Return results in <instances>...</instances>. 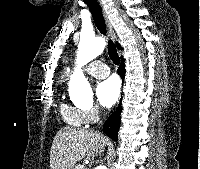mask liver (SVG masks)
Instances as JSON below:
<instances>
[{
    "label": "liver",
    "instance_id": "obj_1",
    "mask_svg": "<svg viewBox=\"0 0 200 169\" xmlns=\"http://www.w3.org/2000/svg\"><path fill=\"white\" fill-rule=\"evenodd\" d=\"M106 143V137L99 132L64 127L53 139L50 169H73L84 157L90 158L101 154Z\"/></svg>",
    "mask_w": 200,
    "mask_h": 169
}]
</instances>
